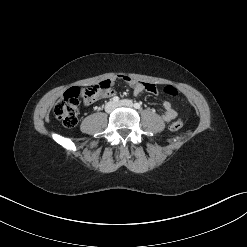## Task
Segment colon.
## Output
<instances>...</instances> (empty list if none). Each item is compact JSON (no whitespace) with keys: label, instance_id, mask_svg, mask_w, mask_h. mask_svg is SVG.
<instances>
[{"label":"colon","instance_id":"5ec220e1","mask_svg":"<svg viewBox=\"0 0 247 247\" xmlns=\"http://www.w3.org/2000/svg\"><path fill=\"white\" fill-rule=\"evenodd\" d=\"M110 86V80H104L102 82L90 85L84 90V96L89 100H95L102 92L109 89ZM163 92L172 97L178 96L177 89L170 85L165 86L163 88ZM80 94L81 90L79 88H70L55 104L54 115L66 127H73L77 123ZM182 127L183 121L180 118H176L172 122L170 129L176 132Z\"/></svg>","mask_w":247,"mask_h":247}]
</instances>
